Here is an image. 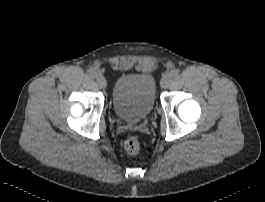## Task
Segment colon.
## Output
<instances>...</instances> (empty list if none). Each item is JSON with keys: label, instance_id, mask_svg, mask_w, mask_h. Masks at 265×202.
Wrapping results in <instances>:
<instances>
[{"label": "colon", "instance_id": "5ec220e1", "mask_svg": "<svg viewBox=\"0 0 265 202\" xmlns=\"http://www.w3.org/2000/svg\"><path fill=\"white\" fill-rule=\"evenodd\" d=\"M124 148L128 154L135 155L141 149V142L137 136H129L124 141Z\"/></svg>", "mask_w": 265, "mask_h": 202}]
</instances>
